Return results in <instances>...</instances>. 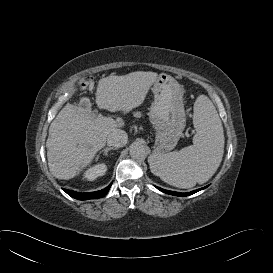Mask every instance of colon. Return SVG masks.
Returning <instances> with one entry per match:
<instances>
[{"label": "colon", "mask_w": 273, "mask_h": 273, "mask_svg": "<svg viewBox=\"0 0 273 273\" xmlns=\"http://www.w3.org/2000/svg\"><path fill=\"white\" fill-rule=\"evenodd\" d=\"M90 85H91V79L88 77L83 78L78 82V87L81 90H86L87 88L90 87Z\"/></svg>", "instance_id": "1"}]
</instances>
